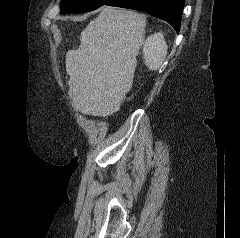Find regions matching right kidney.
<instances>
[{
	"mask_svg": "<svg viewBox=\"0 0 240 238\" xmlns=\"http://www.w3.org/2000/svg\"><path fill=\"white\" fill-rule=\"evenodd\" d=\"M167 55V45L162 33L149 36L143 46V56L150 70H157Z\"/></svg>",
	"mask_w": 240,
	"mask_h": 238,
	"instance_id": "ca27d5eb",
	"label": "right kidney"
}]
</instances>
